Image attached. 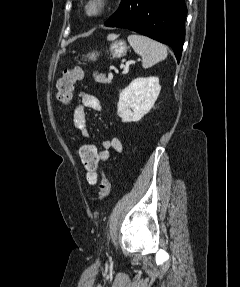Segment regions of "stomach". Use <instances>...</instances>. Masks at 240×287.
<instances>
[{"instance_id":"obj_1","label":"stomach","mask_w":240,"mask_h":287,"mask_svg":"<svg viewBox=\"0 0 240 287\" xmlns=\"http://www.w3.org/2000/svg\"><path fill=\"white\" fill-rule=\"evenodd\" d=\"M107 40L112 42L109 51L113 58H121L126 55L128 47L124 40H118L117 35L114 34L109 35L107 37ZM99 55V52L93 51L86 55L85 60L94 62L97 60V57H99Z\"/></svg>"}]
</instances>
